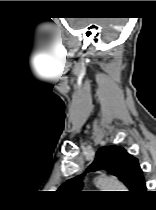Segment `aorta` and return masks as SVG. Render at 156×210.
Wrapping results in <instances>:
<instances>
[{"label":"aorta","mask_w":156,"mask_h":210,"mask_svg":"<svg viewBox=\"0 0 156 210\" xmlns=\"http://www.w3.org/2000/svg\"><path fill=\"white\" fill-rule=\"evenodd\" d=\"M96 184L99 188L104 189V191H120V189H124V186L120 182L108 176L97 178Z\"/></svg>","instance_id":"obj_1"}]
</instances>
